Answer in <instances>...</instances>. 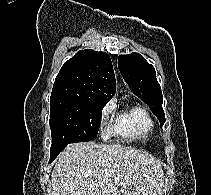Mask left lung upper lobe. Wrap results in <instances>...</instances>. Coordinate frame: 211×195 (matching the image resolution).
<instances>
[{
    "instance_id": "left-lung-upper-lobe-1",
    "label": "left lung upper lobe",
    "mask_w": 211,
    "mask_h": 195,
    "mask_svg": "<svg viewBox=\"0 0 211 195\" xmlns=\"http://www.w3.org/2000/svg\"><path fill=\"white\" fill-rule=\"evenodd\" d=\"M118 67L130 90L149 106L163 126L165 123L162 109L163 96L153 65L140 54L132 53L120 55Z\"/></svg>"
}]
</instances>
